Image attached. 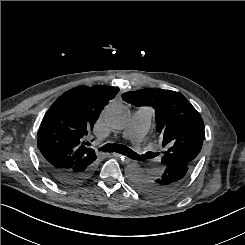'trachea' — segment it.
<instances>
[{"label": "trachea", "mask_w": 245, "mask_h": 245, "mask_svg": "<svg viewBox=\"0 0 245 245\" xmlns=\"http://www.w3.org/2000/svg\"><path fill=\"white\" fill-rule=\"evenodd\" d=\"M99 150L104 151V152H117V153H120V154L125 155L129 158H132V159H137V160L142 159L141 156L136 154L129 147L121 145V144L107 143L104 146H102L101 148H99Z\"/></svg>", "instance_id": "1"}]
</instances>
